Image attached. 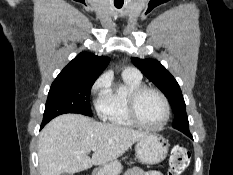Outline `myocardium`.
Listing matches in <instances>:
<instances>
[{
  "mask_svg": "<svg viewBox=\"0 0 233 175\" xmlns=\"http://www.w3.org/2000/svg\"><path fill=\"white\" fill-rule=\"evenodd\" d=\"M148 91L156 93L161 98L163 105H164V109H165L164 119L162 120L160 124L156 126H150V125L144 124L140 120L138 116V112H137V105H138L139 98L142 96V94ZM127 110H128V114L132 122L136 126L142 129L148 130V131H158L164 128L170 119V113H171L170 103L166 95L161 90L155 87L147 86V85H141L130 92L128 96Z\"/></svg>",
  "mask_w": 233,
  "mask_h": 175,
  "instance_id": "f54148a6",
  "label": "myocardium"
}]
</instances>
